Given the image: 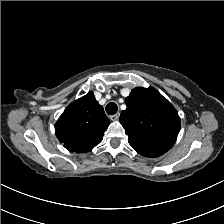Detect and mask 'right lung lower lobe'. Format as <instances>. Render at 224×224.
I'll return each instance as SVG.
<instances>
[{
	"instance_id": "obj_1",
	"label": "right lung lower lobe",
	"mask_w": 224,
	"mask_h": 224,
	"mask_svg": "<svg viewBox=\"0 0 224 224\" xmlns=\"http://www.w3.org/2000/svg\"><path fill=\"white\" fill-rule=\"evenodd\" d=\"M66 147V146H65ZM69 151L74 152V150L70 147H66Z\"/></svg>"
}]
</instances>
